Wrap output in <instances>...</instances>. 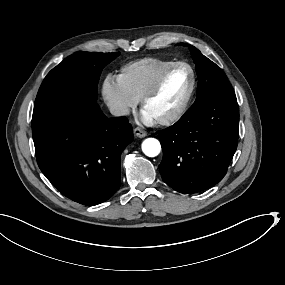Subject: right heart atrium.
<instances>
[{
  "label": "right heart atrium",
  "instance_id": "right-heart-atrium-1",
  "mask_svg": "<svg viewBox=\"0 0 285 285\" xmlns=\"http://www.w3.org/2000/svg\"><path fill=\"white\" fill-rule=\"evenodd\" d=\"M101 92L106 106L117 117H126L138 103V99L119 82L113 72L104 75Z\"/></svg>",
  "mask_w": 285,
  "mask_h": 285
}]
</instances>
